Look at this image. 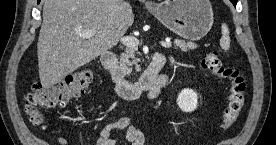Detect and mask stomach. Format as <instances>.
I'll return each mask as SVG.
<instances>
[{
  "instance_id": "stomach-1",
  "label": "stomach",
  "mask_w": 276,
  "mask_h": 145,
  "mask_svg": "<svg viewBox=\"0 0 276 145\" xmlns=\"http://www.w3.org/2000/svg\"><path fill=\"white\" fill-rule=\"evenodd\" d=\"M148 10L169 30L190 41L203 38L214 21L209 0H165Z\"/></svg>"
}]
</instances>
